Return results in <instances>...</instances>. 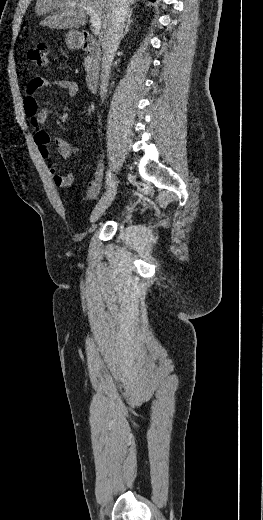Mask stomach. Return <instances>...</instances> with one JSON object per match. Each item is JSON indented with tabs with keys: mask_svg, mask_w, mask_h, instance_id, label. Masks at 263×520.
Here are the masks:
<instances>
[{
	"mask_svg": "<svg viewBox=\"0 0 263 520\" xmlns=\"http://www.w3.org/2000/svg\"><path fill=\"white\" fill-rule=\"evenodd\" d=\"M66 43L71 48H79L82 43L80 33L77 31H69L66 35Z\"/></svg>",
	"mask_w": 263,
	"mask_h": 520,
	"instance_id": "obj_1",
	"label": "stomach"
}]
</instances>
